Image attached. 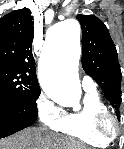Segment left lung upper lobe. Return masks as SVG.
I'll return each mask as SVG.
<instances>
[{
    "label": "left lung upper lobe",
    "mask_w": 124,
    "mask_h": 149,
    "mask_svg": "<svg viewBox=\"0 0 124 149\" xmlns=\"http://www.w3.org/2000/svg\"><path fill=\"white\" fill-rule=\"evenodd\" d=\"M82 27V67L101 87L120 120L121 70L118 54L104 23L94 15H78Z\"/></svg>",
    "instance_id": "5c2ea615"
}]
</instances>
